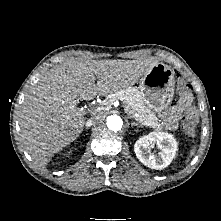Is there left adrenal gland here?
Here are the masks:
<instances>
[{"mask_svg":"<svg viewBox=\"0 0 221 221\" xmlns=\"http://www.w3.org/2000/svg\"><path fill=\"white\" fill-rule=\"evenodd\" d=\"M134 126L142 127V125H140V124H138V123H135V122H132V123H131V127H134Z\"/></svg>","mask_w":221,"mask_h":221,"instance_id":"obj_1","label":"left adrenal gland"}]
</instances>
